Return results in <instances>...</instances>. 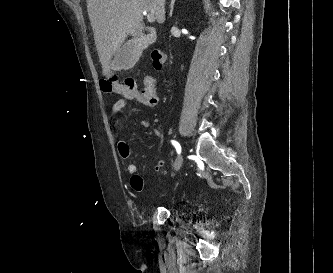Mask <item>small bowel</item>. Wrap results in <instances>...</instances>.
<instances>
[{
	"instance_id": "c3829d8e",
	"label": "small bowel",
	"mask_w": 333,
	"mask_h": 273,
	"mask_svg": "<svg viewBox=\"0 0 333 273\" xmlns=\"http://www.w3.org/2000/svg\"><path fill=\"white\" fill-rule=\"evenodd\" d=\"M157 84H155L152 77H145L144 84H142V89L137 91L136 95H129L128 98H124L116 102L110 113V122L113 127H118L119 118L118 115L120 111L125 107L127 101L137 102L145 107H155L157 105L158 99L156 96ZM148 95H152L151 97ZM140 126L147 128L150 126V123L146 120L140 121ZM118 152L120 157L123 160H129L132 156V151L129 145L124 140H119ZM127 172L131 175L130 185L131 188L136 192H141L144 190V181L143 178L136 174L137 167L134 163H129L127 165Z\"/></svg>"
}]
</instances>
